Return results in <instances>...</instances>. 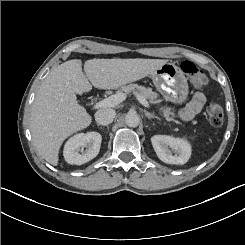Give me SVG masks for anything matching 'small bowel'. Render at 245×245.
<instances>
[{
	"mask_svg": "<svg viewBox=\"0 0 245 245\" xmlns=\"http://www.w3.org/2000/svg\"><path fill=\"white\" fill-rule=\"evenodd\" d=\"M206 102V97L201 92H196L192 97L191 101L186 105V107L180 112V118L184 121H188L195 117L204 107Z\"/></svg>",
	"mask_w": 245,
	"mask_h": 245,
	"instance_id": "obj_1",
	"label": "small bowel"
}]
</instances>
